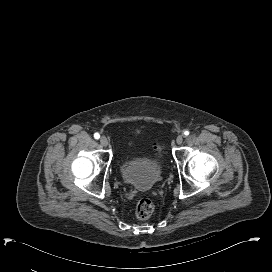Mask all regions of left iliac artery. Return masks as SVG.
Listing matches in <instances>:
<instances>
[{
    "label": "left iliac artery",
    "instance_id": "1",
    "mask_svg": "<svg viewBox=\"0 0 272 272\" xmlns=\"http://www.w3.org/2000/svg\"><path fill=\"white\" fill-rule=\"evenodd\" d=\"M184 135H185V136L189 135V131H187V130L184 131Z\"/></svg>",
    "mask_w": 272,
    "mask_h": 272
}]
</instances>
